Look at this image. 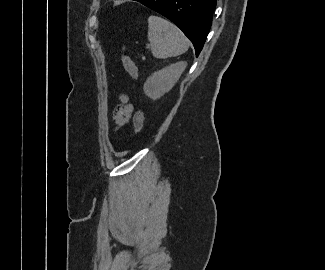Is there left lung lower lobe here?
I'll return each mask as SVG.
<instances>
[{
  "label": "left lung lower lobe",
  "mask_w": 325,
  "mask_h": 270,
  "mask_svg": "<svg viewBox=\"0 0 325 270\" xmlns=\"http://www.w3.org/2000/svg\"><path fill=\"white\" fill-rule=\"evenodd\" d=\"M175 23L193 43L196 56L212 24L216 0H135Z\"/></svg>",
  "instance_id": "obj_1"
}]
</instances>
